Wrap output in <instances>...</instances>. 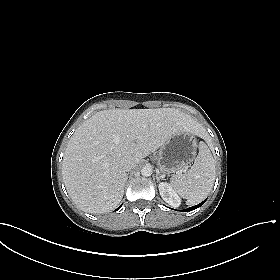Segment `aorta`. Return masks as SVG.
Segmentation results:
<instances>
[{"instance_id":"aorta-1","label":"aorta","mask_w":280,"mask_h":280,"mask_svg":"<svg viewBox=\"0 0 280 280\" xmlns=\"http://www.w3.org/2000/svg\"><path fill=\"white\" fill-rule=\"evenodd\" d=\"M141 174L145 177L151 176L152 168L149 166H145L141 169Z\"/></svg>"}]
</instances>
